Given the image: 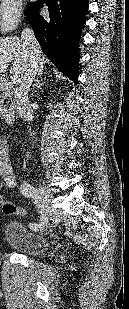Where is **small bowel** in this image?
Wrapping results in <instances>:
<instances>
[{
    "label": "small bowel",
    "mask_w": 129,
    "mask_h": 309,
    "mask_svg": "<svg viewBox=\"0 0 129 309\" xmlns=\"http://www.w3.org/2000/svg\"><path fill=\"white\" fill-rule=\"evenodd\" d=\"M0 190L3 188H14L16 186V177L13 173L10 165L7 153L5 141L0 139Z\"/></svg>",
    "instance_id": "c3829d8e"
}]
</instances>
